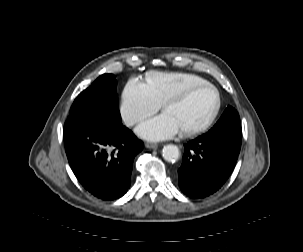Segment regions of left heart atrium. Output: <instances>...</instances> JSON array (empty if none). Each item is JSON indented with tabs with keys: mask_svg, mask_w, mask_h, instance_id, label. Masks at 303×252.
Returning a JSON list of instances; mask_svg holds the SVG:
<instances>
[{
	"mask_svg": "<svg viewBox=\"0 0 303 252\" xmlns=\"http://www.w3.org/2000/svg\"><path fill=\"white\" fill-rule=\"evenodd\" d=\"M179 131L178 126L167 113L143 121L136 129L140 137L152 141L171 139Z\"/></svg>",
	"mask_w": 303,
	"mask_h": 252,
	"instance_id": "39dd6f15",
	"label": "left heart atrium"
}]
</instances>
